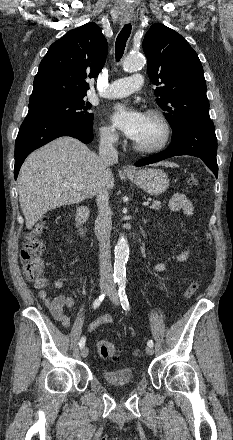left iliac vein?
I'll list each match as a JSON object with an SVG mask.
<instances>
[{
    "label": "left iliac vein",
    "instance_id": "left-iliac-vein-1",
    "mask_svg": "<svg viewBox=\"0 0 233 440\" xmlns=\"http://www.w3.org/2000/svg\"><path fill=\"white\" fill-rule=\"evenodd\" d=\"M108 296L113 304L118 305L120 303L119 296H118L117 290L115 288L110 289ZM145 350L148 355L154 354V349L150 346L146 347Z\"/></svg>",
    "mask_w": 233,
    "mask_h": 440
}]
</instances>
